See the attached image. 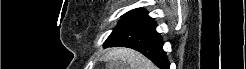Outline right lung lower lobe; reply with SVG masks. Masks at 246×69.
Instances as JSON below:
<instances>
[{
    "instance_id": "right-lung-lower-lobe-1",
    "label": "right lung lower lobe",
    "mask_w": 246,
    "mask_h": 69,
    "mask_svg": "<svg viewBox=\"0 0 246 69\" xmlns=\"http://www.w3.org/2000/svg\"><path fill=\"white\" fill-rule=\"evenodd\" d=\"M129 47L141 52L160 69H169V62L166 53L163 51V41L159 33L156 32V23L147 14L143 16V21L126 31L108 47Z\"/></svg>"
}]
</instances>
